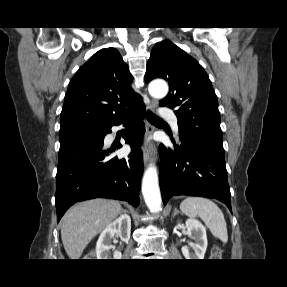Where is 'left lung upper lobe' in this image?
Here are the masks:
<instances>
[{
    "label": "left lung upper lobe",
    "instance_id": "obj_1",
    "mask_svg": "<svg viewBox=\"0 0 287 287\" xmlns=\"http://www.w3.org/2000/svg\"><path fill=\"white\" fill-rule=\"evenodd\" d=\"M164 78L170 91L161 106L174 109L180 137L224 152L217 96L203 67L169 40L155 44L145 81Z\"/></svg>",
    "mask_w": 287,
    "mask_h": 287
}]
</instances>
